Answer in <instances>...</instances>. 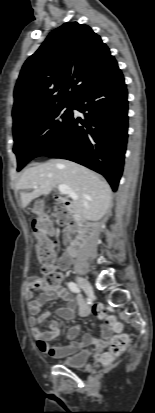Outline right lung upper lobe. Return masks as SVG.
Listing matches in <instances>:
<instances>
[{
	"label": "right lung upper lobe",
	"mask_w": 155,
	"mask_h": 413,
	"mask_svg": "<svg viewBox=\"0 0 155 413\" xmlns=\"http://www.w3.org/2000/svg\"><path fill=\"white\" fill-rule=\"evenodd\" d=\"M115 68L109 48L89 26L63 24L24 63L14 90L13 124L73 103Z\"/></svg>",
	"instance_id": "right-lung-upper-lobe-1"
}]
</instances>
